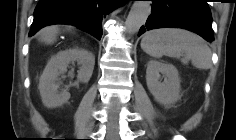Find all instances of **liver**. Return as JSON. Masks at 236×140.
Instances as JSON below:
<instances>
[{
  "label": "liver",
  "instance_id": "1",
  "mask_svg": "<svg viewBox=\"0 0 236 140\" xmlns=\"http://www.w3.org/2000/svg\"><path fill=\"white\" fill-rule=\"evenodd\" d=\"M70 29V27H67V30ZM59 31L60 28L58 26L46 27L40 31L39 39L47 44H52L56 41Z\"/></svg>",
  "mask_w": 236,
  "mask_h": 140
}]
</instances>
